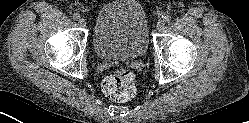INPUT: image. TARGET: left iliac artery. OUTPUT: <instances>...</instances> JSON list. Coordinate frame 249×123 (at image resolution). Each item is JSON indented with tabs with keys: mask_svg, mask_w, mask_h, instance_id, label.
<instances>
[{
	"mask_svg": "<svg viewBox=\"0 0 249 123\" xmlns=\"http://www.w3.org/2000/svg\"><path fill=\"white\" fill-rule=\"evenodd\" d=\"M171 20H172L171 16H165L164 17V22H166V23H170Z\"/></svg>",
	"mask_w": 249,
	"mask_h": 123,
	"instance_id": "left-iliac-artery-1",
	"label": "left iliac artery"
}]
</instances>
